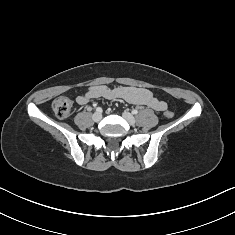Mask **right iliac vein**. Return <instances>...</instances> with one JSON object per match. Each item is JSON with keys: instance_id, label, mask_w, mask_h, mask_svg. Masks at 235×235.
I'll use <instances>...</instances> for the list:
<instances>
[{"instance_id": "1", "label": "right iliac vein", "mask_w": 235, "mask_h": 235, "mask_svg": "<svg viewBox=\"0 0 235 235\" xmlns=\"http://www.w3.org/2000/svg\"><path fill=\"white\" fill-rule=\"evenodd\" d=\"M92 119L95 122H99L102 119V114L100 112H95L92 116Z\"/></svg>"}]
</instances>
